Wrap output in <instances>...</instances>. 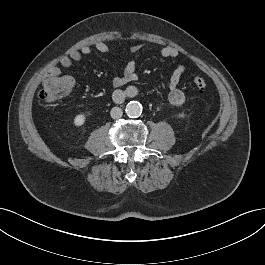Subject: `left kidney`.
I'll use <instances>...</instances> for the list:
<instances>
[{
	"mask_svg": "<svg viewBox=\"0 0 265 265\" xmlns=\"http://www.w3.org/2000/svg\"><path fill=\"white\" fill-rule=\"evenodd\" d=\"M178 117L181 118V119H184L185 118V114L182 112V113L178 114Z\"/></svg>",
	"mask_w": 265,
	"mask_h": 265,
	"instance_id": "obj_1",
	"label": "left kidney"
}]
</instances>
